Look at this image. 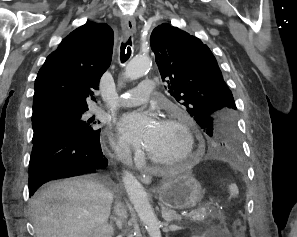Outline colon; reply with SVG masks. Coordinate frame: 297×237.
<instances>
[{"label":"colon","mask_w":297,"mask_h":237,"mask_svg":"<svg viewBox=\"0 0 297 237\" xmlns=\"http://www.w3.org/2000/svg\"><path fill=\"white\" fill-rule=\"evenodd\" d=\"M239 237H243V236L241 235V232H240V235H239Z\"/></svg>","instance_id":"1"}]
</instances>
